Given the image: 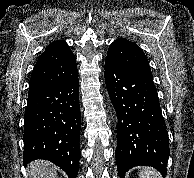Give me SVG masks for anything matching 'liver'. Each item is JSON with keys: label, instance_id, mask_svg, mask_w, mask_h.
I'll return each mask as SVG.
<instances>
[{"label": "liver", "instance_id": "1", "mask_svg": "<svg viewBox=\"0 0 194 178\" xmlns=\"http://www.w3.org/2000/svg\"><path fill=\"white\" fill-rule=\"evenodd\" d=\"M29 178H57V170L49 161L37 160L28 166Z\"/></svg>", "mask_w": 194, "mask_h": 178}]
</instances>
